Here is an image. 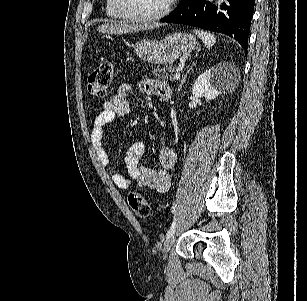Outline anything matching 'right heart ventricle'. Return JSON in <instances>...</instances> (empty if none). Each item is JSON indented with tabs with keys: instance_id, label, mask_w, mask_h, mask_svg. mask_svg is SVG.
Wrapping results in <instances>:
<instances>
[{
	"instance_id": "1",
	"label": "right heart ventricle",
	"mask_w": 307,
	"mask_h": 301,
	"mask_svg": "<svg viewBox=\"0 0 307 301\" xmlns=\"http://www.w3.org/2000/svg\"><path fill=\"white\" fill-rule=\"evenodd\" d=\"M109 4H110V0H109ZM112 15H113V16H116V15H117V12H116V11H113V12H112Z\"/></svg>"
}]
</instances>
